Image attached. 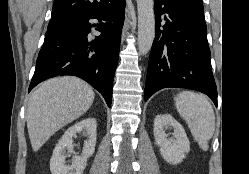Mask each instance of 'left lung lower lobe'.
<instances>
[{
    "label": "left lung lower lobe",
    "mask_w": 249,
    "mask_h": 174,
    "mask_svg": "<svg viewBox=\"0 0 249 174\" xmlns=\"http://www.w3.org/2000/svg\"><path fill=\"white\" fill-rule=\"evenodd\" d=\"M154 3L156 34L149 58L145 101L162 88L178 87L205 93L217 106L205 21L185 13L170 0Z\"/></svg>",
    "instance_id": "obj_1"
}]
</instances>
